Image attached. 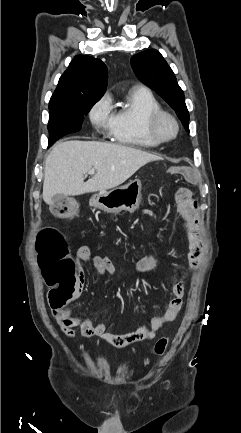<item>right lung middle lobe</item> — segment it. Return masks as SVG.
Instances as JSON below:
<instances>
[{"instance_id": "1", "label": "right lung middle lobe", "mask_w": 241, "mask_h": 433, "mask_svg": "<svg viewBox=\"0 0 241 433\" xmlns=\"http://www.w3.org/2000/svg\"><path fill=\"white\" fill-rule=\"evenodd\" d=\"M98 100L49 102V146L62 136L78 132L84 116Z\"/></svg>"}]
</instances>
